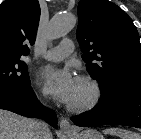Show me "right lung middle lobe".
Listing matches in <instances>:
<instances>
[{
    "label": "right lung middle lobe",
    "mask_w": 141,
    "mask_h": 139,
    "mask_svg": "<svg viewBox=\"0 0 141 139\" xmlns=\"http://www.w3.org/2000/svg\"><path fill=\"white\" fill-rule=\"evenodd\" d=\"M30 86L26 64L20 57H0V89Z\"/></svg>",
    "instance_id": "dd1d6c3e"
}]
</instances>
